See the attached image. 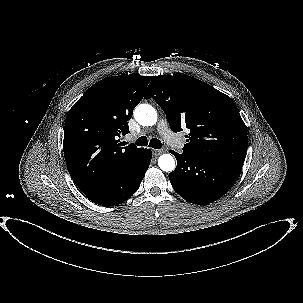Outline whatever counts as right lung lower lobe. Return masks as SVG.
Here are the masks:
<instances>
[{"label": "right lung lower lobe", "mask_w": 303, "mask_h": 303, "mask_svg": "<svg viewBox=\"0 0 303 303\" xmlns=\"http://www.w3.org/2000/svg\"><path fill=\"white\" fill-rule=\"evenodd\" d=\"M151 158V151L145 149L142 157L131 168L109 185L87 194V198L101 206H114L123 203L138 190L150 165Z\"/></svg>", "instance_id": "right-lung-lower-lobe-1"}]
</instances>
